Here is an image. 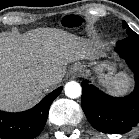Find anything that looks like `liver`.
<instances>
[{
	"mask_svg": "<svg viewBox=\"0 0 139 139\" xmlns=\"http://www.w3.org/2000/svg\"><path fill=\"white\" fill-rule=\"evenodd\" d=\"M94 52L91 41L59 29H36L21 37L0 35V109L34 105L42 94L41 78L51 76L58 84L68 63L91 59Z\"/></svg>",
	"mask_w": 139,
	"mask_h": 139,
	"instance_id": "liver-1",
	"label": "liver"
}]
</instances>
